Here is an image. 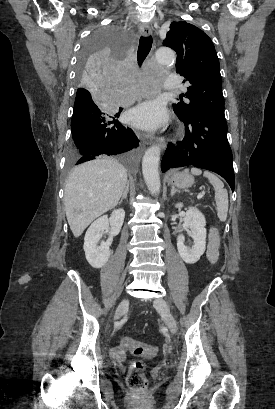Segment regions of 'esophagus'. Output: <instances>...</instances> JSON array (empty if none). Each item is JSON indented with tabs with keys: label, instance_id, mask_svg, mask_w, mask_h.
Returning a JSON list of instances; mask_svg holds the SVG:
<instances>
[{
	"label": "esophagus",
	"instance_id": "obj_1",
	"mask_svg": "<svg viewBox=\"0 0 275 409\" xmlns=\"http://www.w3.org/2000/svg\"><path fill=\"white\" fill-rule=\"evenodd\" d=\"M139 33H140V35L143 36V37H148V36H150V35L152 34L151 27H150L148 24L143 23L142 25H140ZM154 142H155V144L158 145L162 150L166 148V145H167V144H166L165 138H163V137H158V138L155 139Z\"/></svg>",
	"mask_w": 275,
	"mask_h": 409
}]
</instances>
